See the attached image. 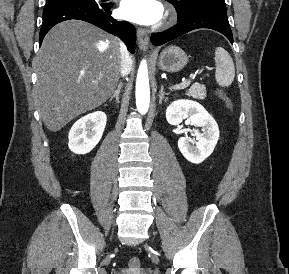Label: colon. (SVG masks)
I'll return each mask as SVG.
<instances>
[{
  "instance_id": "1",
  "label": "colon",
  "mask_w": 289,
  "mask_h": 274,
  "mask_svg": "<svg viewBox=\"0 0 289 274\" xmlns=\"http://www.w3.org/2000/svg\"><path fill=\"white\" fill-rule=\"evenodd\" d=\"M217 96L225 103L226 107L229 110L233 109L232 101L227 97V95L223 91L218 90ZM128 268L129 270L132 271H138L140 269V261L137 258L130 259L128 263Z\"/></svg>"
}]
</instances>
